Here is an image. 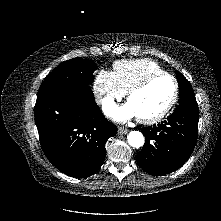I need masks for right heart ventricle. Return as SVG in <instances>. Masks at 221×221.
<instances>
[{
  "label": "right heart ventricle",
  "mask_w": 221,
  "mask_h": 221,
  "mask_svg": "<svg viewBox=\"0 0 221 221\" xmlns=\"http://www.w3.org/2000/svg\"><path fill=\"white\" fill-rule=\"evenodd\" d=\"M162 72L157 63L148 59L118 60L113 64V74L124 92L146 77Z\"/></svg>",
  "instance_id": "e07e8e85"
}]
</instances>
